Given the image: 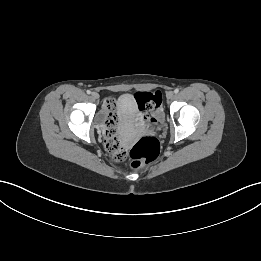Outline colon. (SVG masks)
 Masks as SVG:
<instances>
[{
    "label": "colon",
    "instance_id": "obj_1",
    "mask_svg": "<svg viewBox=\"0 0 261 261\" xmlns=\"http://www.w3.org/2000/svg\"><path fill=\"white\" fill-rule=\"evenodd\" d=\"M132 100L137 103L136 113L147 125L156 126L163 118L161 105V93L155 92H135ZM106 108L109 112L106 121L105 146L112 158L121 161L128 158L132 167L140 168L153 162L159 155L160 144L154 137H142L130 149H126L116 131L117 117L114 113V102L108 100Z\"/></svg>",
    "mask_w": 261,
    "mask_h": 261
}]
</instances>
